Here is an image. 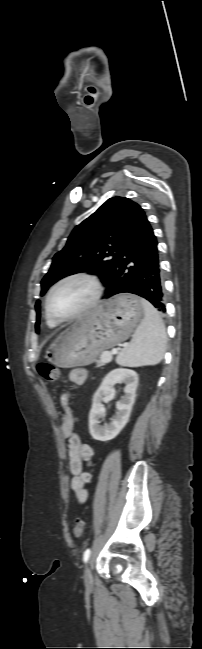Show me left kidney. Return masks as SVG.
<instances>
[{"label":"left kidney","instance_id":"5707ae66","mask_svg":"<svg viewBox=\"0 0 202 649\" xmlns=\"http://www.w3.org/2000/svg\"><path fill=\"white\" fill-rule=\"evenodd\" d=\"M116 383L125 384L124 395L116 403V413L110 423L101 425L100 419L104 417L105 410L102 401L109 398L114 392ZM138 374L130 369H115L109 372L102 380L101 385L92 399V408L89 414V430L91 436L99 441H108L115 438L127 424L136 397Z\"/></svg>","mask_w":202,"mask_h":649}]
</instances>
